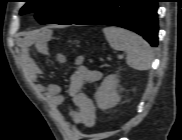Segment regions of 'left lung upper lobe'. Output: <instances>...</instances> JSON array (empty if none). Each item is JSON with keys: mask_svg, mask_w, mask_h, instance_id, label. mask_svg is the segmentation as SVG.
Instances as JSON below:
<instances>
[{"mask_svg": "<svg viewBox=\"0 0 182 140\" xmlns=\"http://www.w3.org/2000/svg\"><path fill=\"white\" fill-rule=\"evenodd\" d=\"M101 0H26L20 14L36 12V19L45 24H71L89 11Z\"/></svg>", "mask_w": 182, "mask_h": 140, "instance_id": "obj_1", "label": "left lung upper lobe"}]
</instances>
